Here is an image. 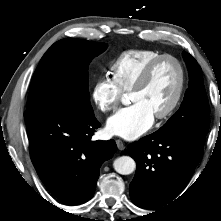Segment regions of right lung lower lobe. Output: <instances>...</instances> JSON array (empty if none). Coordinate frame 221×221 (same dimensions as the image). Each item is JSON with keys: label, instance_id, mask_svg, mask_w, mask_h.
I'll return each mask as SVG.
<instances>
[{"label": "right lung lower lobe", "instance_id": "right-lung-lower-lobe-1", "mask_svg": "<svg viewBox=\"0 0 221 221\" xmlns=\"http://www.w3.org/2000/svg\"><path fill=\"white\" fill-rule=\"evenodd\" d=\"M24 118L31 160L48 190L67 204L90 200L100 166L117 148L114 140L91 141L100 127L94 114L39 107Z\"/></svg>", "mask_w": 221, "mask_h": 221}]
</instances>
